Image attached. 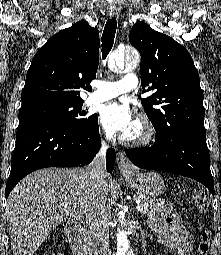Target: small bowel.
Here are the masks:
<instances>
[{
    "mask_svg": "<svg viewBox=\"0 0 221 255\" xmlns=\"http://www.w3.org/2000/svg\"><path fill=\"white\" fill-rule=\"evenodd\" d=\"M148 225L156 233L159 242L173 250L174 255H192L193 238L183 228L173 209L166 208L160 215L151 216Z\"/></svg>",
    "mask_w": 221,
    "mask_h": 255,
    "instance_id": "small-bowel-1",
    "label": "small bowel"
}]
</instances>
